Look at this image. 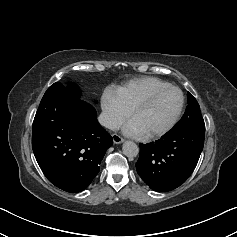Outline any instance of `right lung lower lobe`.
Here are the masks:
<instances>
[{"label": "right lung lower lobe", "instance_id": "98d812e1", "mask_svg": "<svg viewBox=\"0 0 237 237\" xmlns=\"http://www.w3.org/2000/svg\"><path fill=\"white\" fill-rule=\"evenodd\" d=\"M112 144L92 105L61 83L48 88L34 118L32 148L52 184L70 193L84 190Z\"/></svg>", "mask_w": 237, "mask_h": 237}]
</instances>
